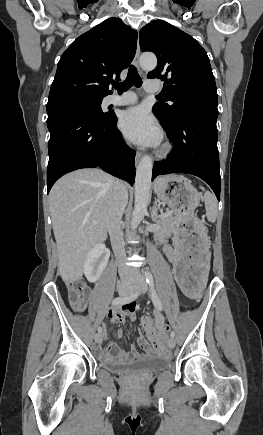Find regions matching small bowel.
<instances>
[{"label": "small bowel", "instance_id": "1", "mask_svg": "<svg viewBox=\"0 0 263 435\" xmlns=\"http://www.w3.org/2000/svg\"><path fill=\"white\" fill-rule=\"evenodd\" d=\"M164 251L169 261L172 263V270L177 269V261L182 260L181 252L178 253L171 246H164ZM137 306L135 303L126 306H116L109 310L108 317L112 322H124L126 319L130 321L136 320ZM141 323L145 329L150 343L143 335H138L137 343L142 349L143 354L139 353L135 346H132L128 351L121 349L116 343L108 342L105 346L98 347L96 350L97 357L105 362H130L150 355H163L165 343V321L162 314L156 312L154 317L145 315L141 318ZM118 337H123V332H118Z\"/></svg>", "mask_w": 263, "mask_h": 435}]
</instances>
